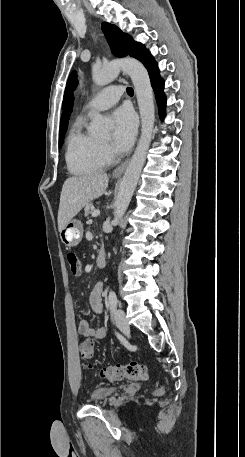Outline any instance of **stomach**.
I'll return each instance as SVG.
<instances>
[{
  "instance_id": "obj_1",
  "label": "stomach",
  "mask_w": 245,
  "mask_h": 457,
  "mask_svg": "<svg viewBox=\"0 0 245 457\" xmlns=\"http://www.w3.org/2000/svg\"><path fill=\"white\" fill-rule=\"evenodd\" d=\"M83 237V224L81 220L72 218L64 229L60 231V239L64 243L65 247H77Z\"/></svg>"
}]
</instances>
